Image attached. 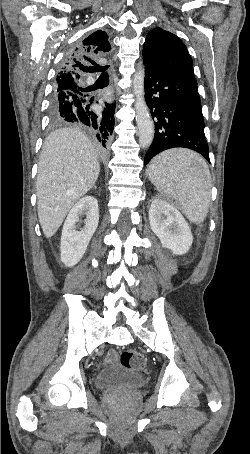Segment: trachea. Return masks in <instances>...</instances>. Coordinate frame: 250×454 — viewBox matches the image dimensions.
<instances>
[{"label": "trachea", "mask_w": 250, "mask_h": 454, "mask_svg": "<svg viewBox=\"0 0 250 454\" xmlns=\"http://www.w3.org/2000/svg\"><path fill=\"white\" fill-rule=\"evenodd\" d=\"M108 68H109V66H104L103 67V66H98V65H96L94 67V69L96 71H100L101 72V75L98 78V82H101V83H103L105 85H107L109 83V74H108V71H107Z\"/></svg>", "instance_id": "obj_1"}]
</instances>
